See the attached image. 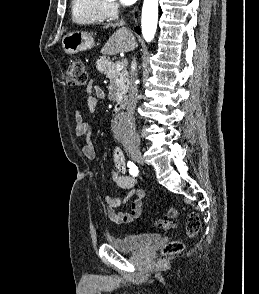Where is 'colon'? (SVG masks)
<instances>
[{
  "instance_id": "colon-1",
  "label": "colon",
  "mask_w": 259,
  "mask_h": 294,
  "mask_svg": "<svg viewBox=\"0 0 259 294\" xmlns=\"http://www.w3.org/2000/svg\"><path fill=\"white\" fill-rule=\"evenodd\" d=\"M65 82L69 87H81L87 83V73L85 70L84 63L75 59L72 60L69 64L68 70L65 75ZM167 214L170 218H175L177 216V209L170 207L167 209ZM156 226L161 229H171L175 224L169 220H158L156 221ZM200 229V220L199 217L192 213L190 214L187 225L186 232L190 237L195 236ZM183 250V243L180 241H172L166 244L163 249V254H175Z\"/></svg>"
}]
</instances>
